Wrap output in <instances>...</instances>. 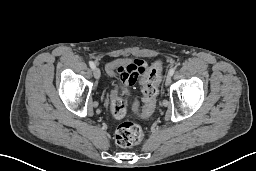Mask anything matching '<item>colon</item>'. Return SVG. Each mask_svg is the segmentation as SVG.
Returning a JSON list of instances; mask_svg holds the SVG:
<instances>
[{"label": "colon", "instance_id": "1", "mask_svg": "<svg viewBox=\"0 0 256 171\" xmlns=\"http://www.w3.org/2000/svg\"><path fill=\"white\" fill-rule=\"evenodd\" d=\"M163 67L160 61L155 62L143 75V100L147 108L155 106L158 94V84L161 79ZM111 113L117 119L124 117L126 113V102L123 98L114 96L111 100ZM143 130L134 122L121 123L115 132L116 143L121 147H130L141 142Z\"/></svg>", "mask_w": 256, "mask_h": 171}]
</instances>
